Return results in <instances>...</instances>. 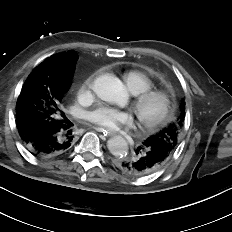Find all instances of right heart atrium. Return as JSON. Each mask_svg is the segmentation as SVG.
<instances>
[{
    "instance_id": "1",
    "label": "right heart atrium",
    "mask_w": 232,
    "mask_h": 232,
    "mask_svg": "<svg viewBox=\"0 0 232 232\" xmlns=\"http://www.w3.org/2000/svg\"><path fill=\"white\" fill-rule=\"evenodd\" d=\"M91 88V83H90V79L88 82L85 83L83 90H89Z\"/></svg>"
}]
</instances>
